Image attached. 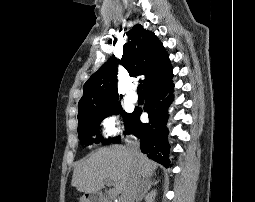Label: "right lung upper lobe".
<instances>
[{"label": "right lung upper lobe", "mask_w": 255, "mask_h": 202, "mask_svg": "<svg viewBox=\"0 0 255 202\" xmlns=\"http://www.w3.org/2000/svg\"><path fill=\"white\" fill-rule=\"evenodd\" d=\"M127 36L128 42L124 44L123 56L119 62L130 76H145L141 81L144 93L172 79L169 56L154 33L137 24L127 32ZM117 66L115 58L108 60L84 84V93L78 104V116L119 103L116 87Z\"/></svg>", "instance_id": "right-lung-upper-lobe-1"}]
</instances>
